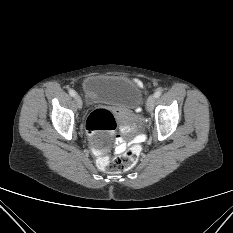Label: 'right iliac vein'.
<instances>
[{
    "instance_id": "63e3f726",
    "label": "right iliac vein",
    "mask_w": 233,
    "mask_h": 233,
    "mask_svg": "<svg viewBox=\"0 0 233 233\" xmlns=\"http://www.w3.org/2000/svg\"><path fill=\"white\" fill-rule=\"evenodd\" d=\"M75 100L77 102L78 107L82 108L83 102H82L81 97L78 94L75 95Z\"/></svg>"
}]
</instances>
